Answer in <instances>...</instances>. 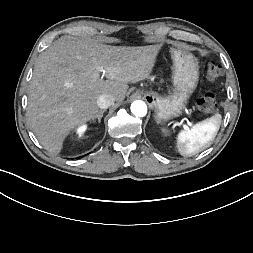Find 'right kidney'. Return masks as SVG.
I'll return each instance as SVG.
<instances>
[{"label": "right kidney", "instance_id": "obj_1", "mask_svg": "<svg viewBox=\"0 0 253 253\" xmlns=\"http://www.w3.org/2000/svg\"><path fill=\"white\" fill-rule=\"evenodd\" d=\"M86 130V126L82 125L77 129V133L79 134V136H81L83 134V132Z\"/></svg>", "mask_w": 253, "mask_h": 253}]
</instances>
